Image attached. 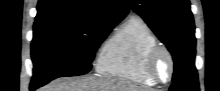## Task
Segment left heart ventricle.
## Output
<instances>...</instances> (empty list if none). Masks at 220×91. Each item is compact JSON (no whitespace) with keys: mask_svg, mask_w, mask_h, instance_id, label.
<instances>
[{"mask_svg":"<svg viewBox=\"0 0 220 91\" xmlns=\"http://www.w3.org/2000/svg\"><path fill=\"white\" fill-rule=\"evenodd\" d=\"M157 72L162 79H166L169 74V63L165 56H161L157 61Z\"/></svg>","mask_w":220,"mask_h":91,"instance_id":"obj_1","label":"left heart ventricle"}]
</instances>
